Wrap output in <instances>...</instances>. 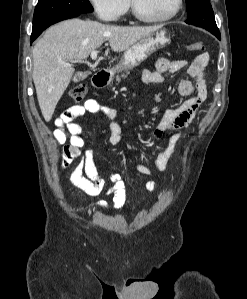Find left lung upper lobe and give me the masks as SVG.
<instances>
[{
  "mask_svg": "<svg viewBox=\"0 0 247 299\" xmlns=\"http://www.w3.org/2000/svg\"><path fill=\"white\" fill-rule=\"evenodd\" d=\"M188 18L187 24L219 32L210 0H186Z\"/></svg>",
  "mask_w": 247,
  "mask_h": 299,
  "instance_id": "left-lung-upper-lobe-1",
  "label": "left lung upper lobe"
}]
</instances>
